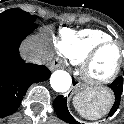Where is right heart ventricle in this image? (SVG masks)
I'll list each match as a JSON object with an SVG mask.
<instances>
[{
  "instance_id": "right-heart-ventricle-1",
  "label": "right heart ventricle",
  "mask_w": 124,
  "mask_h": 124,
  "mask_svg": "<svg viewBox=\"0 0 124 124\" xmlns=\"http://www.w3.org/2000/svg\"><path fill=\"white\" fill-rule=\"evenodd\" d=\"M108 40H111L110 35L100 29L72 30L64 28L55 41V47L68 62L80 65L94 46Z\"/></svg>"
}]
</instances>
